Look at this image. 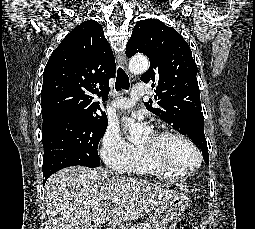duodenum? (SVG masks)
Here are the masks:
<instances>
[{
	"instance_id": "duodenum-1",
	"label": "duodenum",
	"mask_w": 255,
	"mask_h": 229,
	"mask_svg": "<svg viewBox=\"0 0 255 229\" xmlns=\"http://www.w3.org/2000/svg\"><path fill=\"white\" fill-rule=\"evenodd\" d=\"M107 229H125V226L121 223H112L107 226Z\"/></svg>"
}]
</instances>
